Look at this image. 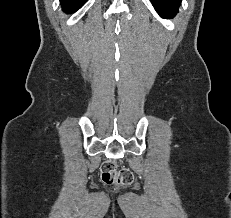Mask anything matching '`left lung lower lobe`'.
Listing matches in <instances>:
<instances>
[{
  "instance_id": "obj_1",
  "label": "left lung lower lobe",
  "mask_w": 231,
  "mask_h": 218,
  "mask_svg": "<svg viewBox=\"0 0 231 218\" xmlns=\"http://www.w3.org/2000/svg\"><path fill=\"white\" fill-rule=\"evenodd\" d=\"M162 16H173L178 12L182 0H150Z\"/></svg>"
}]
</instances>
